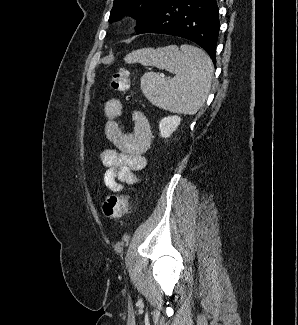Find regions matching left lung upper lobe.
Instances as JSON below:
<instances>
[{
  "label": "left lung upper lobe",
  "mask_w": 298,
  "mask_h": 325,
  "mask_svg": "<svg viewBox=\"0 0 298 325\" xmlns=\"http://www.w3.org/2000/svg\"><path fill=\"white\" fill-rule=\"evenodd\" d=\"M166 0H114L109 21H116L125 15L137 18L136 29L149 21Z\"/></svg>",
  "instance_id": "left-lung-upper-lobe-1"
}]
</instances>
